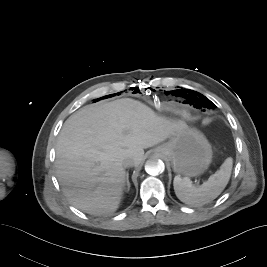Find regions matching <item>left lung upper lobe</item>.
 Instances as JSON below:
<instances>
[{
  "label": "left lung upper lobe",
  "mask_w": 267,
  "mask_h": 267,
  "mask_svg": "<svg viewBox=\"0 0 267 267\" xmlns=\"http://www.w3.org/2000/svg\"><path fill=\"white\" fill-rule=\"evenodd\" d=\"M178 95L179 96H181V95H183L184 97H185V93H183L182 91H180V90H178ZM193 94H195V98L194 97H190V101H191V103H194L195 104V106L197 107V108H200V107H205V108H207V109H210V108H214V107H216L209 99H207L205 96H203V95H201V94H199V93H196V92H192ZM196 95H197V97H196ZM192 99H194V100H192Z\"/></svg>",
  "instance_id": "5c2ea615"
}]
</instances>
